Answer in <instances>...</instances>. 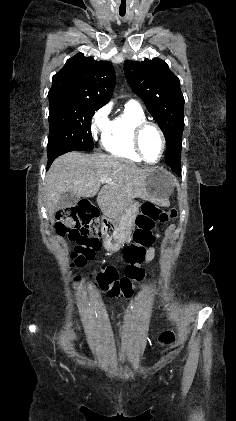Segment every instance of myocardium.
<instances>
[{
	"instance_id": "f54148a6",
	"label": "myocardium",
	"mask_w": 236,
	"mask_h": 421,
	"mask_svg": "<svg viewBox=\"0 0 236 421\" xmlns=\"http://www.w3.org/2000/svg\"><path fill=\"white\" fill-rule=\"evenodd\" d=\"M148 127H151V128H153L157 131V133L159 134V136L161 138V142H162V154H161L160 159L155 163H152L147 159V157L145 156V154L142 150V146H141L142 133ZM133 143H134V147H135L136 152L138 153L140 158L144 162H146L147 164L155 165V164L160 163L163 160L165 152H166V148H167V140H166V136H165L163 130L156 123L146 121V120L138 123L135 126L134 131H133Z\"/></svg>"
}]
</instances>
